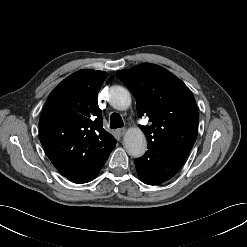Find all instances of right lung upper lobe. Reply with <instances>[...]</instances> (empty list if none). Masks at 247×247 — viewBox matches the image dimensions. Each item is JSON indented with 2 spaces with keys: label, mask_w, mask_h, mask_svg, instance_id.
<instances>
[{
  "label": "right lung upper lobe",
  "mask_w": 247,
  "mask_h": 247,
  "mask_svg": "<svg viewBox=\"0 0 247 247\" xmlns=\"http://www.w3.org/2000/svg\"><path fill=\"white\" fill-rule=\"evenodd\" d=\"M103 71L84 69L64 79L49 95L40 122L46 155L66 175L104 158L116 139L103 129L97 95Z\"/></svg>",
  "instance_id": "1"
}]
</instances>
